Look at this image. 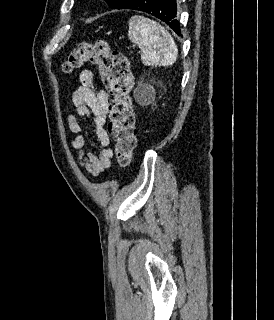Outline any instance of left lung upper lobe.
I'll use <instances>...</instances> for the list:
<instances>
[{
  "instance_id": "left-lung-upper-lobe-1",
  "label": "left lung upper lobe",
  "mask_w": 274,
  "mask_h": 320,
  "mask_svg": "<svg viewBox=\"0 0 274 320\" xmlns=\"http://www.w3.org/2000/svg\"><path fill=\"white\" fill-rule=\"evenodd\" d=\"M112 9H123L132 0H105Z\"/></svg>"
}]
</instances>
